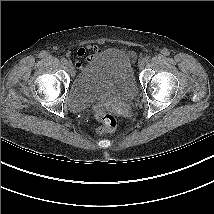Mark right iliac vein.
I'll use <instances>...</instances> for the list:
<instances>
[{
	"mask_svg": "<svg viewBox=\"0 0 214 214\" xmlns=\"http://www.w3.org/2000/svg\"><path fill=\"white\" fill-rule=\"evenodd\" d=\"M65 65L68 67V68H72V62L71 61H67L66 63H65Z\"/></svg>",
	"mask_w": 214,
	"mask_h": 214,
	"instance_id": "63e3f726",
	"label": "right iliac vein"
}]
</instances>
